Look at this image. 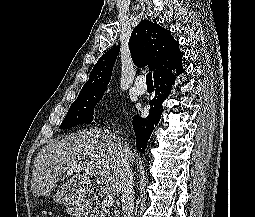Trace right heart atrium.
<instances>
[{
  "mask_svg": "<svg viewBox=\"0 0 255 217\" xmlns=\"http://www.w3.org/2000/svg\"><path fill=\"white\" fill-rule=\"evenodd\" d=\"M114 114V111L113 110H109L108 112H107V115H109V116H112Z\"/></svg>",
  "mask_w": 255,
  "mask_h": 217,
  "instance_id": "1",
  "label": "right heart atrium"
}]
</instances>
